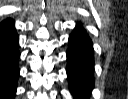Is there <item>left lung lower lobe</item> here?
<instances>
[{"label": "left lung lower lobe", "mask_w": 128, "mask_h": 99, "mask_svg": "<svg viewBox=\"0 0 128 99\" xmlns=\"http://www.w3.org/2000/svg\"><path fill=\"white\" fill-rule=\"evenodd\" d=\"M93 44L81 24L69 37L67 76L74 99H88L94 87Z\"/></svg>", "instance_id": "obj_1"}]
</instances>
